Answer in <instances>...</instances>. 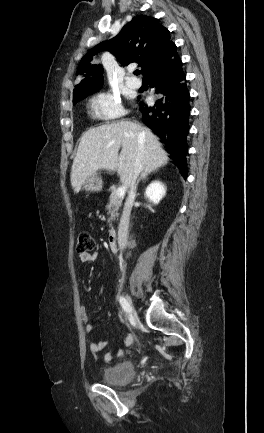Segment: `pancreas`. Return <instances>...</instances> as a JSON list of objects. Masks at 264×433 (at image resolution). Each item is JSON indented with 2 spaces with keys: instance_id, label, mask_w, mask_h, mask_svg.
I'll return each instance as SVG.
<instances>
[{
  "instance_id": "pancreas-1",
  "label": "pancreas",
  "mask_w": 264,
  "mask_h": 433,
  "mask_svg": "<svg viewBox=\"0 0 264 433\" xmlns=\"http://www.w3.org/2000/svg\"><path fill=\"white\" fill-rule=\"evenodd\" d=\"M123 198H120L116 194V190H113L109 197V203L106 205L109 218V226L112 227V221L118 216V210L122 205Z\"/></svg>"
}]
</instances>
